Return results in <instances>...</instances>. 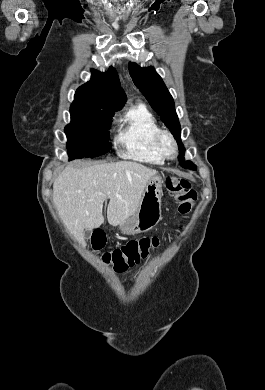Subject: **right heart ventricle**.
Instances as JSON below:
<instances>
[{
  "label": "right heart ventricle",
  "mask_w": 265,
  "mask_h": 390,
  "mask_svg": "<svg viewBox=\"0 0 265 390\" xmlns=\"http://www.w3.org/2000/svg\"><path fill=\"white\" fill-rule=\"evenodd\" d=\"M160 127L154 115L143 104L132 106L121 118L115 136L119 155L134 161L162 164L163 157L155 145Z\"/></svg>",
  "instance_id": "e07e8e85"
}]
</instances>
